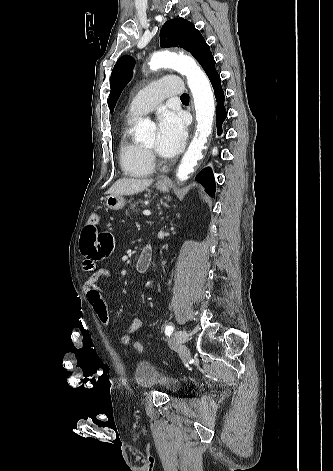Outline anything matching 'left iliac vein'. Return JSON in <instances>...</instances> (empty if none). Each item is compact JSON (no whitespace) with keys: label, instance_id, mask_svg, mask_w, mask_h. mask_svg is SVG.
I'll return each instance as SVG.
<instances>
[{"label":"left iliac vein","instance_id":"obj_1","mask_svg":"<svg viewBox=\"0 0 333 471\" xmlns=\"http://www.w3.org/2000/svg\"><path fill=\"white\" fill-rule=\"evenodd\" d=\"M188 341V333L184 330L175 332L174 345L182 352L185 353V343Z\"/></svg>","mask_w":333,"mask_h":471}]
</instances>
